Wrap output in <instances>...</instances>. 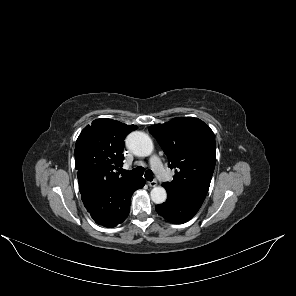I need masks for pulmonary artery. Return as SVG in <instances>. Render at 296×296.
<instances>
[{"label":"pulmonary artery","mask_w":296,"mask_h":296,"mask_svg":"<svg viewBox=\"0 0 296 296\" xmlns=\"http://www.w3.org/2000/svg\"><path fill=\"white\" fill-rule=\"evenodd\" d=\"M151 165L153 166L158 177H160L161 179H166L168 177V173L164 169V167L158 157L151 158Z\"/></svg>","instance_id":"pulmonary-artery-1"}]
</instances>
